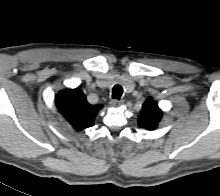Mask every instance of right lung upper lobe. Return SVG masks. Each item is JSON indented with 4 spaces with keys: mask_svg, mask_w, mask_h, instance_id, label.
<instances>
[{
    "mask_svg": "<svg viewBox=\"0 0 220 196\" xmlns=\"http://www.w3.org/2000/svg\"><path fill=\"white\" fill-rule=\"evenodd\" d=\"M56 106L65 120L77 131L91 127L101 105H91L84 93L76 89L60 91L56 96Z\"/></svg>",
    "mask_w": 220,
    "mask_h": 196,
    "instance_id": "1",
    "label": "right lung upper lobe"
}]
</instances>
